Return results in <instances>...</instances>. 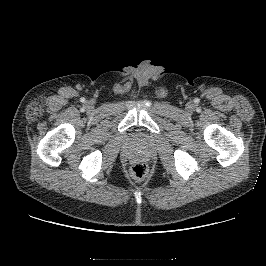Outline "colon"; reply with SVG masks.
<instances>
[{
  "label": "colon",
  "instance_id": "1",
  "mask_svg": "<svg viewBox=\"0 0 266 266\" xmlns=\"http://www.w3.org/2000/svg\"><path fill=\"white\" fill-rule=\"evenodd\" d=\"M130 174L134 179L142 180L148 174V167L143 162H136L131 166Z\"/></svg>",
  "mask_w": 266,
  "mask_h": 266
}]
</instances>
